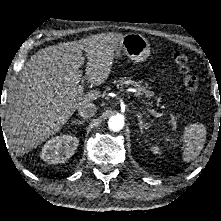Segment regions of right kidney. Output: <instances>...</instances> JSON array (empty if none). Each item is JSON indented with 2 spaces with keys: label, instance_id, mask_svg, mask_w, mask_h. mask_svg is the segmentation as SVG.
<instances>
[{
  "label": "right kidney",
  "instance_id": "right-kidney-1",
  "mask_svg": "<svg viewBox=\"0 0 221 221\" xmlns=\"http://www.w3.org/2000/svg\"><path fill=\"white\" fill-rule=\"evenodd\" d=\"M79 140L71 135L56 136L42 147L40 157L49 164L64 163L75 153Z\"/></svg>",
  "mask_w": 221,
  "mask_h": 221
}]
</instances>
